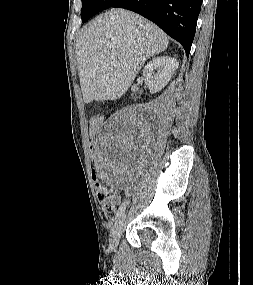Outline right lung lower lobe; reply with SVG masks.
Returning <instances> with one entry per match:
<instances>
[{
  "instance_id": "obj_1",
  "label": "right lung lower lobe",
  "mask_w": 253,
  "mask_h": 285,
  "mask_svg": "<svg viewBox=\"0 0 253 285\" xmlns=\"http://www.w3.org/2000/svg\"><path fill=\"white\" fill-rule=\"evenodd\" d=\"M202 0H117L111 7L125 8L156 23L179 41L189 56Z\"/></svg>"
}]
</instances>
